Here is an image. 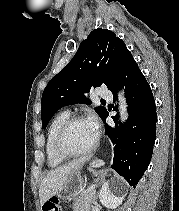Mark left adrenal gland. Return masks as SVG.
<instances>
[{"instance_id":"a2214340","label":"left adrenal gland","mask_w":179,"mask_h":211,"mask_svg":"<svg viewBox=\"0 0 179 211\" xmlns=\"http://www.w3.org/2000/svg\"><path fill=\"white\" fill-rule=\"evenodd\" d=\"M100 184H102V183L100 182V183H99V186H100ZM98 194H99V193H97L96 198H97Z\"/></svg>"}]
</instances>
